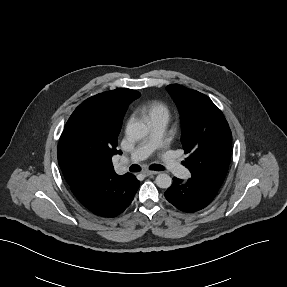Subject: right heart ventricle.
<instances>
[{
  "mask_svg": "<svg viewBox=\"0 0 287 287\" xmlns=\"http://www.w3.org/2000/svg\"><path fill=\"white\" fill-rule=\"evenodd\" d=\"M139 112L147 119L168 122L170 119V109L168 105L161 101H152L139 107Z\"/></svg>",
  "mask_w": 287,
  "mask_h": 287,
  "instance_id": "e07e8e85",
  "label": "right heart ventricle"
}]
</instances>
